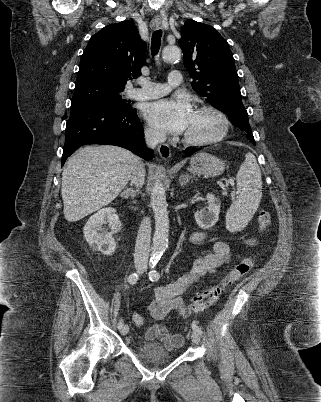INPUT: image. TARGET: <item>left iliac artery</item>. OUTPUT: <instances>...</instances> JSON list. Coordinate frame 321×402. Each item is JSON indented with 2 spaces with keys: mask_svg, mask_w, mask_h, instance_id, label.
Returning <instances> with one entry per match:
<instances>
[{
  "mask_svg": "<svg viewBox=\"0 0 321 402\" xmlns=\"http://www.w3.org/2000/svg\"><path fill=\"white\" fill-rule=\"evenodd\" d=\"M154 266H155V265L152 266V268H151V270H150V272H149V279H150L151 281H157V280L160 278V274L155 270ZM191 327H192V329H193L194 331H196L198 334H200V335L203 334L201 328H200L198 325H196L195 323H193V324L191 325Z\"/></svg>",
  "mask_w": 321,
  "mask_h": 402,
  "instance_id": "left-iliac-artery-1",
  "label": "left iliac artery"
}]
</instances>
